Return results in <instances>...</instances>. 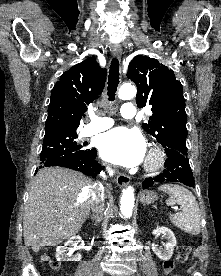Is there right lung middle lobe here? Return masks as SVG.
<instances>
[{
	"label": "right lung middle lobe",
	"mask_w": 221,
	"mask_h": 276,
	"mask_svg": "<svg viewBox=\"0 0 221 276\" xmlns=\"http://www.w3.org/2000/svg\"><path fill=\"white\" fill-rule=\"evenodd\" d=\"M76 132H54L45 134L40 161L55 160L66 157H79L88 155L92 149H86L77 143Z\"/></svg>",
	"instance_id": "right-lung-middle-lobe-1"
}]
</instances>
